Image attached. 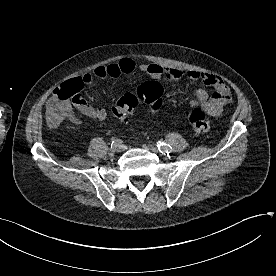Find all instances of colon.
<instances>
[{"mask_svg": "<svg viewBox=\"0 0 276 276\" xmlns=\"http://www.w3.org/2000/svg\"><path fill=\"white\" fill-rule=\"evenodd\" d=\"M82 82L76 78L69 80L57 87L50 98V106L47 108V116L50 124L58 125L81 96ZM163 89L159 82L149 81L138 86L136 93H126L112 106L114 116L125 121L128 115L140 102L146 103L153 112L162 105ZM188 121L193 131L197 134H205L210 128V121L201 107L190 109Z\"/></svg>", "mask_w": 276, "mask_h": 276, "instance_id": "1", "label": "colon"}]
</instances>
